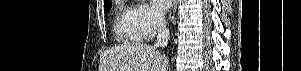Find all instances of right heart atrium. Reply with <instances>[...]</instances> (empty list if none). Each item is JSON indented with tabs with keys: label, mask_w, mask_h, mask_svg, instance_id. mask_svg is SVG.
Masks as SVG:
<instances>
[{
	"label": "right heart atrium",
	"mask_w": 301,
	"mask_h": 71,
	"mask_svg": "<svg viewBox=\"0 0 301 71\" xmlns=\"http://www.w3.org/2000/svg\"><path fill=\"white\" fill-rule=\"evenodd\" d=\"M135 23L143 38H151L163 26L164 17L148 4L132 8Z\"/></svg>",
	"instance_id": "obj_1"
}]
</instances>
